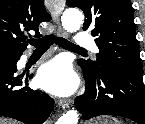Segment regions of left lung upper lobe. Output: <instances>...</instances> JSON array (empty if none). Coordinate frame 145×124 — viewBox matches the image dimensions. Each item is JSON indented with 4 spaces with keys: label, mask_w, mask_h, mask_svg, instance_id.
Masks as SVG:
<instances>
[{
    "label": "left lung upper lobe",
    "mask_w": 145,
    "mask_h": 124,
    "mask_svg": "<svg viewBox=\"0 0 145 124\" xmlns=\"http://www.w3.org/2000/svg\"><path fill=\"white\" fill-rule=\"evenodd\" d=\"M69 7L83 10V29H92L99 48L97 60L81 62L93 73L121 67L143 73L136 40L133 8L130 0H66Z\"/></svg>",
    "instance_id": "1"
}]
</instances>
